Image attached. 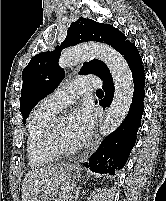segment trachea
Segmentation results:
<instances>
[{
    "label": "trachea",
    "mask_w": 166,
    "mask_h": 201,
    "mask_svg": "<svg viewBox=\"0 0 166 201\" xmlns=\"http://www.w3.org/2000/svg\"><path fill=\"white\" fill-rule=\"evenodd\" d=\"M96 93H100V94H102L103 91H102V90H97Z\"/></svg>",
    "instance_id": "obj_1"
}]
</instances>
